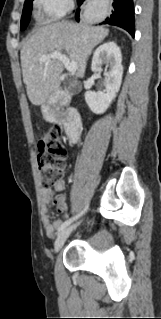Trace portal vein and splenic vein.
<instances>
[{
    "mask_svg": "<svg viewBox=\"0 0 161 319\" xmlns=\"http://www.w3.org/2000/svg\"><path fill=\"white\" fill-rule=\"evenodd\" d=\"M51 59L60 60L70 73H74L77 70V63L75 61H70V59L66 55L62 54L59 51H53L47 55L40 57V61H48Z\"/></svg>",
    "mask_w": 161,
    "mask_h": 319,
    "instance_id": "18ae733b",
    "label": "portal vein and splenic vein"
}]
</instances>
